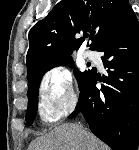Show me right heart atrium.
Masks as SVG:
<instances>
[{"label":"right heart atrium","instance_id":"obj_1","mask_svg":"<svg viewBox=\"0 0 139 150\" xmlns=\"http://www.w3.org/2000/svg\"><path fill=\"white\" fill-rule=\"evenodd\" d=\"M77 94L69 70L53 67L42 76L39 86V112L46 122H57L76 106Z\"/></svg>","mask_w":139,"mask_h":150}]
</instances>
